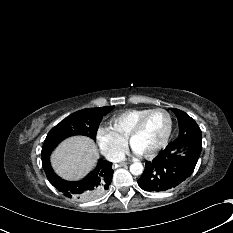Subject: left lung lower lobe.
I'll return each instance as SVG.
<instances>
[{
    "instance_id": "0a47b994",
    "label": "left lung lower lobe",
    "mask_w": 233,
    "mask_h": 233,
    "mask_svg": "<svg viewBox=\"0 0 233 233\" xmlns=\"http://www.w3.org/2000/svg\"><path fill=\"white\" fill-rule=\"evenodd\" d=\"M202 146L194 148L169 144L151 162L145 164L138 185L149 192H162L180 185L194 171Z\"/></svg>"
}]
</instances>
